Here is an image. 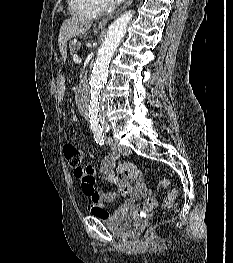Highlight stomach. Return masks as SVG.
<instances>
[{
    "mask_svg": "<svg viewBox=\"0 0 233 263\" xmlns=\"http://www.w3.org/2000/svg\"><path fill=\"white\" fill-rule=\"evenodd\" d=\"M54 81H55V82H59V83H58V87H57V90H58V91H66L67 88H70V87H71V84H70V83H67V81L65 80L64 77H55V78H54Z\"/></svg>",
    "mask_w": 233,
    "mask_h": 263,
    "instance_id": "stomach-1",
    "label": "stomach"
}]
</instances>
